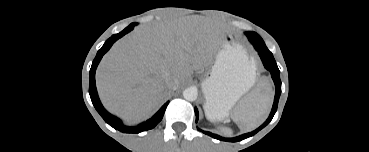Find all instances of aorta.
Masks as SVG:
<instances>
[{"mask_svg": "<svg viewBox=\"0 0 369 152\" xmlns=\"http://www.w3.org/2000/svg\"><path fill=\"white\" fill-rule=\"evenodd\" d=\"M183 97L187 101H195L198 97V91L196 87H189L183 91Z\"/></svg>", "mask_w": 369, "mask_h": 152, "instance_id": "aorta-1", "label": "aorta"}]
</instances>
